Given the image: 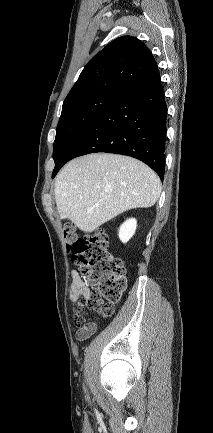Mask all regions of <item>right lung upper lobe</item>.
<instances>
[{"mask_svg": "<svg viewBox=\"0 0 213 433\" xmlns=\"http://www.w3.org/2000/svg\"><path fill=\"white\" fill-rule=\"evenodd\" d=\"M156 65L142 41L132 36L119 37L88 62L64 104L102 92L122 94Z\"/></svg>", "mask_w": 213, "mask_h": 433, "instance_id": "right-lung-upper-lobe-1", "label": "right lung upper lobe"}]
</instances>
